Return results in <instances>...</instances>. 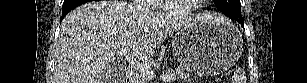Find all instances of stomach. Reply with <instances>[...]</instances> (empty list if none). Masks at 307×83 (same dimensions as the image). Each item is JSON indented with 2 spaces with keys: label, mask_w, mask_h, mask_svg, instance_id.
<instances>
[{
  "label": "stomach",
  "mask_w": 307,
  "mask_h": 83,
  "mask_svg": "<svg viewBox=\"0 0 307 83\" xmlns=\"http://www.w3.org/2000/svg\"><path fill=\"white\" fill-rule=\"evenodd\" d=\"M180 65L197 75L213 76L235 64L243 51L241 34L231 23L202 22L178 30L172 41Z\"/></svg>",
  "instance_id": "obj_1"
}]
</instances>
